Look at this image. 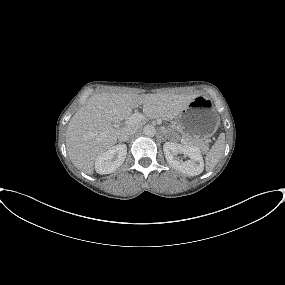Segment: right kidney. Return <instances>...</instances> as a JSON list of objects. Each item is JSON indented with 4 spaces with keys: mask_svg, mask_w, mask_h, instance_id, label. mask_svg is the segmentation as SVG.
I'll return each instance as SVG.
<instances>
[{
    "mask_svg": "<svg viewBox=\"0 0 285 285\" xmlns=\"http://www.w3.org/2000/svg\"><path fill=\"white\" fill-rule=\"evenodd\" d=\"M126 154L127 147L125 144L113 146L97 157L95 161L96 172L101 175L114 172L123 164Z\"/></svg>",
    "mask_w": 285,
    "mask_h": 285,
    "instance_id": "obj_1",
    "label": "right kidney"
}]
</instances>
